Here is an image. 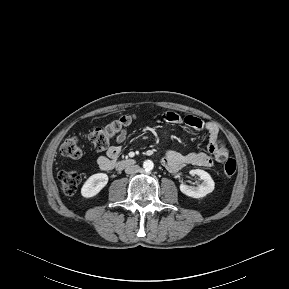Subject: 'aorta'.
Segmentation results:
<instances>
[{
  "label": "aorta",
  "instance_id": "762f6f07",
  "mask_svg": "<svg viewBox=\"0 0 289 289\" xmlns=\"http://www.w3.org/2000/svg\"><path fill=\"white\" fill-rule=\"evenodd\" d=\"M143 168L145 171H151L154 168V163L151 160H145L143 162Z\"/></svg>",
  "mask_w": 289,
  "mask_h": 289
}]
</instances>
